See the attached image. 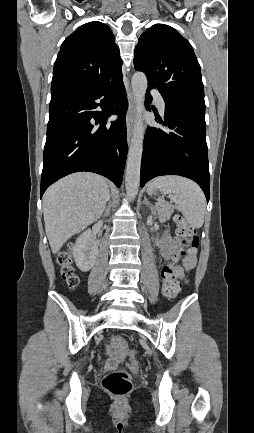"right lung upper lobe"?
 I'll return each instance as SVG.
<instances>
[{"instance_id": "obj_1", "label": "right lung upper lobe", "mask_w": 254, "mask_h": 433, "mask_svg": "<svg viewBox=\"0 0 254 433\" xmlns=\"http://www.w3.org/2000/svg\"><path fill=\"white\" fill-rule=\"evenodd\" d=\"M122 79V60L111 29L86 23L68 36L54 64L51 93L98 88Z\"/></svg>"}]
</instances>
